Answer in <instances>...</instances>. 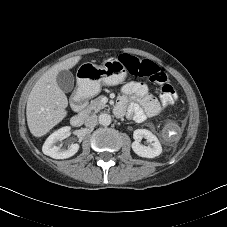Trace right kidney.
<instances>
[{"label":"right kidney","instance_id":"1","mask_svg":"<svg viewBox=\"0 0 227 227\" xmlns=\"http://www.w3.org/2000/svg\"><path fill=\"white\" fill-rule=\"evenodd\" d=\"M70 129L69 126H65L53 132L43 144V153L54 159H66L75 155L79 150V145L77 143L71 144L68 149H62L60 146L55 145L56 142L61 141L70 135Z\"/></svg>","mask_w":227,"mask_h":227}]
</instances>
